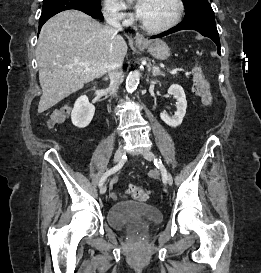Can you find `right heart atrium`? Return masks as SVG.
Instances as JSON below:
<instances>
[{
  "label": "right heart atrium",
  "instance_id": "1",
  "mask_svg": "<svg viewBox=\"0 0 261 273\" xmlns=\"http://www.w3.org/2000/svg\"><path fill=\"white\" fill-rule=\"evenodd\" d=\"M103 10L111 21L127 24L131 20V15L125 11V6L120 0H104Z\"/></svg>",
  "mask_w": 261,
  "mask_h": 273
}]
</instances>
